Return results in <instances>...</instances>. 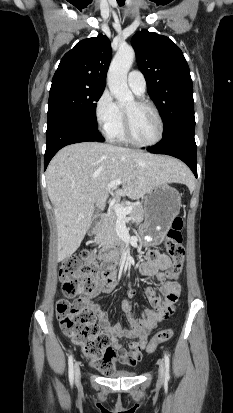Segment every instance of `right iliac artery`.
Listing matches in <instances>:
<instances>
[{
    "mask_svg": "<svg viewBox=\"0 0 233 413\" xmlns=\"http://www.w3.org/2000/svg\"><path fill=\"white\" fill-rule=\"evenodd\" d=\"M68 375H69V381L71 384H73L74 381V369H73V356L70 355L68 358Z\"/></svg>",
    "mask_w": 233,
    "mask_h": 413,
    "instance_id": "82829eb1",
    "label": "right iliac artery"
}]
</instances>
